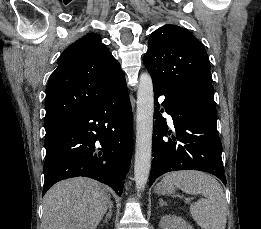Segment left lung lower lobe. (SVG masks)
<instances>
[{"label": "left lung lower lobe", "instance_id": "obj_1", "mask_svg": "<svg viewBox=\"0 0 261 229\" xmlns=\"http://www.w3.org/2000/svg\"><path fill=\"white\" fill-rule=\"evenodd\" d=\"M153 88L156 106L158 97L165 96L162 105L173 119L176 134L169 136L166 119L156 107L152 138L155 159L149 186L166 172L187 169L209 172L226 184L214 98L198 91L168 88L155 81Z\"/></svg>", "mask_w": 261, "mask_h": 229}]
</instances>
